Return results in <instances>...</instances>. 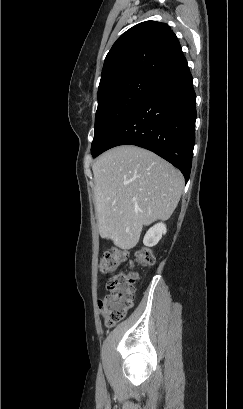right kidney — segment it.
<instances>
[{"label": "right kidney", "mask_w": 243, "mask_h": 409, "mask_svg": "<svg viewBox=\"0 0 243 409\" xmlns=\"http://www.w3.org/2000/svg\"><path fill=\"white\" fill-rule=\"evenodd\" d=\"M166 232L167 229L165 224L158 223L154 225L146 232L143 239L144 245L148 247L155 246L162 238V235L166 234Z\"/></svg>", "instance_id": "ca27d5eb"}]
</instances>
